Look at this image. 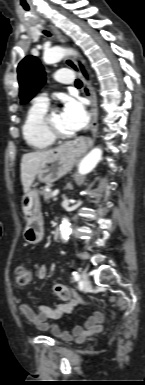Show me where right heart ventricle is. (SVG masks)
Here are the masks:
<instances>
[{
    "mask_svg": "<svg viewBox=\"0 0 145 385\" xmlns=\"http://www.w3.org/2000/svg\"><path fill=\"white\" fill-rule=\"evenodd\" d=\"M47 110L48 105L34 102L28 108L22 122L21 132L24 141L34 150H44L54 143L42 127V119Z\"/></svg>",
    "mask_w": 145,
    "mask_h": 385,
    "instance_id": "e07e8e85",
    "label": "right heart ventricle"
}]
</instances>
